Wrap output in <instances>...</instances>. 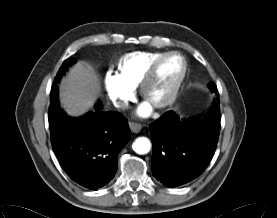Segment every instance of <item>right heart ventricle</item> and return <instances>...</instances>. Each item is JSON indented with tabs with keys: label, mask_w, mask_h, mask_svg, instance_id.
<instances>
[{
	"label": "right heart ventricle",
	"mask_w": 277,
	"mask_h": 218,
	"mask_svg": "<svg viewBox=\"0 0 277 218\" xmlns=\"http://www.w3.org/2000/svg\"><path fill=\"white\" fill-rule=\"evenodd\" d=\"M163 52L137 51L125 55L119 63V76L131 88L139 86L151 62Z\"/></svg>",
	"instance_id": "right-heart-ventricle-1"
}]
</instances>
